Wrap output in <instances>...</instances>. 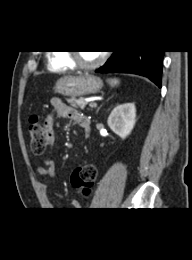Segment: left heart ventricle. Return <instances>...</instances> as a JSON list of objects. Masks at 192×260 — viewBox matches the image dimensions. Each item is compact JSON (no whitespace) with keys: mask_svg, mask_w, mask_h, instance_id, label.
<instances>
[{"mask_svg":"<svg viewBox=\"0 0 192 260\" xmlns=\"http://www.w3.org/2000/svg\"><path fill=\"white\" fill-rule=\"evenodd\" d=\"M101 52L97 51H81L79 52V57L82 62L86 64L93 63L99 59Z\"/></svg>","mask_w":192,"mask_h":260,"instance_id":"obj_1","label":"left heart ventricle"}]
</instances>
